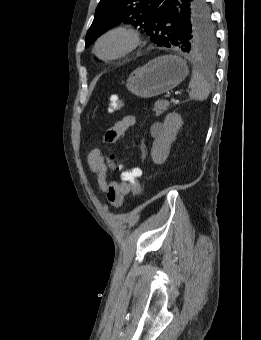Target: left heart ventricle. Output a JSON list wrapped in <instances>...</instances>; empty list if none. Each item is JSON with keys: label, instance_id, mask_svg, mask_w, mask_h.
<instances>
[{"label": "left heart ventricle", "instance_id": "b2bd125f", "mask_svg": "<svg viewBox=\"0 0 261 340\" xmlns=\"http://www.w3.org/2000/svg\"><path fill=\"white\" fill-rule=\"evenodd\" d=\"M127 46V40L121 35H112L100 45V54L104 57L115 55Z\"/></svg>", "mask_w": 261, "mask_h": 340}]
</instances>
